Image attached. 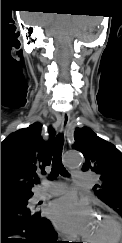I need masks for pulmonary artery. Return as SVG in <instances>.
<instances>
[{"label":"pulmonary artery","instance_id":"pulmonary-artery-1","mask_svg":"<svg viewBox=\"0 0 122 243\" xmlns=\"http://www.w3.org/2000/svg\"><path fill=\"white\" fill-rule=\"evenodd\" d=\"M74 176L76 178V181L80 184H85L90 180V174L87 172L75 170ZM66 186L63 183L57 182L53 183L49 187L42 188L39 192L36 193L35 198L37 200L45 199L47 197L61 194L65 191Z\"/></svg>","mask_w":122,"mask_h":243}]
</instances>
